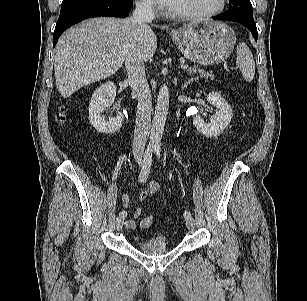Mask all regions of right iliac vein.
Returning a JSON list of instances; mask_svg holds the SVG:
<instances>
[{
    "mask_svg": "<svg viewBox=\"0 0 307 301\" xmlns=\"http://www.w3.org/2000/svg\"><path fill=\"white\" fill-rule=\"evenodd\" d=\"M123 224H124V218L117 217L116 218V228H117V230H119V231L122 230Z\"/></svg>",
    "mask_w": 307,
    "mask_h": 301,
    "instance_id": "obj_1",
    "label": "right iliac vein"
}]
</instances>
